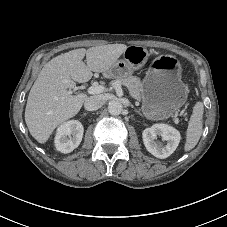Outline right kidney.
Instances as JSON below:
<instances>
[{
	"label": "right kidney",
	"mask_w": 227,
	"mask_h": 227,
	"mask_svg": "<svg viewBox=\"0 0 227 227\" xmlns=\"http://www.w3.org/2000/svg\"><path fill=\"white\" fill-rule=\"evenodd\" d=\"M83 132V125L77 120L63 123L58 127L54 139L56 149L62 153H70L79 146Z\"/></svg>",
	"instance_id": "obj_1"
}]
</instances>
